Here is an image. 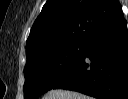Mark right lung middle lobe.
Listing matches in <instances>:
<instances>
[{
  "mask_svg": "<svg viewBox=\"0 0 128 99\" xmlns=\"http://www.w3.org/2000/svg\"><path fill=\"white\" fill-rule=\"evenodd\" d=\"M84 43H71L27 58L24 69L25 99H35L52 89L78 63Z\"/></svg>",
  "mask_w": 128,
  "mask_h": 99,
  "instance_id": "dd1d6c3e",
  "label": "right lung middle lobe"
}]
</instances>
